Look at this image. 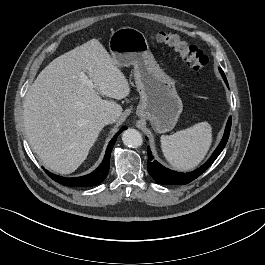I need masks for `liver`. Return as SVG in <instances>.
<instances>
[{
  "instance_id": "liver-1",
  "label": "liver",
  "mask_w": 265,
  "mask_h": 265,
  "mask_svg": "<svg viewBox=\"0 0 265 265\" xmlns=\"http://www.w3.org/2000/svg\"><path fill=\"white\" fill-rule=\"evenodd\" d=\"M84 72L92 81L88 85ZM129 83L104 46L91 39L49 63L28 89L24 101V126L32 150L43 165L59 174L74 172L87 158L104 125L100 113L115 117Z\"/></svg>"
}]
</instances>
